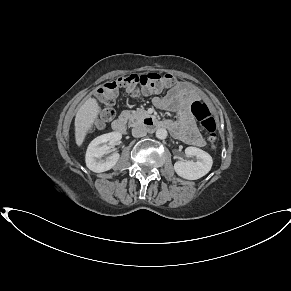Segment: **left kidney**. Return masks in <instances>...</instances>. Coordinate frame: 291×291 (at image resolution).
I'll list each match as a JSON object with an SVG mask.
<instances>
[{
	"instance_id": "1",
	"label": "left kidney",
	"mask_w": 291,
	"mask_h": 291,
	"mask_svg": "<svg viewBox=\"0 0 291 291\" xmlns=\"http://www.w3.org/2000/svg\"><path fill=\"white\" fill-rule=\"evenodd\" d=\"M185 153L189 157H196L197 161H177L174 164V170L180 177L196 180L210 171L213 160L207 152L196 147H187Z\"/></svg>"
}]
</instances>
